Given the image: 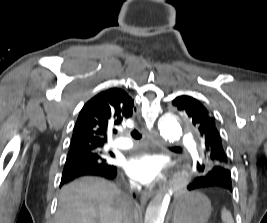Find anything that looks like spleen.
Masks as SVG:
<instances>
[{
	"label": "spleen",
	"mask_w": 267,
	"mask_h": 223,
	"mask_svg": "<svg viewBox=\"0 0 267 223\" xmlns=\"http://www.w3.org/2000/svg\"><path fill=\"white\" fill-rule=\"evenodd\" d=\"M221 219L224 223H234L231 213L226 208L221 211Z\"/></svg>",
	"instance_id": "3e777b00"
}]
</instances>
